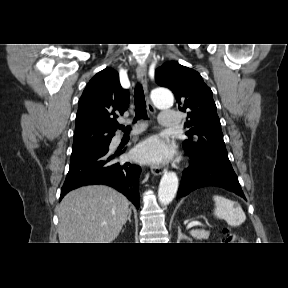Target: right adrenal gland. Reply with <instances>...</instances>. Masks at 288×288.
Wrapping results in <instances>:
<instances>
[{"label":"right adrenal gland","mask_w":288,"mask_h":288,"mask_svg":"<svg viewBox=\"0 0 288 288\" xmlns=\"http://www.w3.org/2000/svg\"><path fill=\"white\" fill-rule=\"evenodd\" d=\"M131 214H132V212H131V210L129 211V214H128V217H127V220L129 221V223H131Z\"/></svg>","instance_id":"obj_1"}]
</instances>
